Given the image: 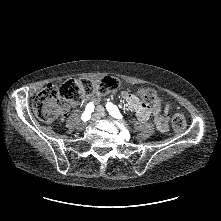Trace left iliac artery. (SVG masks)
I'll use <instances>...</instances> for the list:
<instances>
[{
	"label": "left iliac artery",
	"mask_w": 221,
	"mask_h": 221,
	"mask_svg": "<svg viewBox=\"0 0 221 221\" xmlns=\"http://www.w3.org/2000/svg\"><path fill=\"white\" fill-rule=\"evenodd\" d=\"M106 109L112 117L117 118V119L123 118L119 109L114 104L108 102L106 104Z\"/></svg>",
	"instance_id": "left-iliac-artery-1"
}]
</instances>
